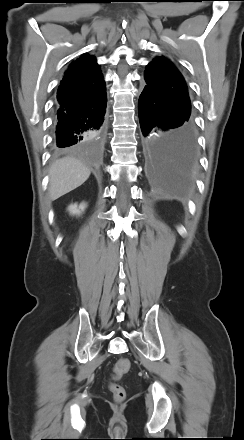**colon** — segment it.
Segmentation results:
<instances>
[{
  "label": "colon",
  "mask_w": 244,
  "mask_h": 440,
  "mask_svg": "<svg viewBox=\"0 0 244 440\" xmlns=\"http://www.w3.org/2000/svg\"><path fill=\"white\" fill-rule=\"evenodd\" d=\"M129 369V361L127 359L121 358L119 359L113 369V380L112 382H110L109 384V389L115 399V401L117 402H121L125 399L126 397V391L124 389V387L120 384H118L117 382H115V380H118L119 378L122 377L123 374H125Z\"/></svg>",
  "instance_id": "5ec220e1"
}]
</instances>
